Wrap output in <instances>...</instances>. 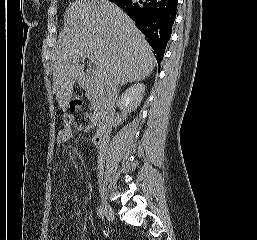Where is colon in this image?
<instances>
[{"label":"colon","mask_w":257,"mask_h":240,"mask_svg":"<svg viewBox=\"0 0 257 240\" xmlns=\"http://www.w3.org/2000/svg\"><path fill=\"white\" fill-rule=\"evenodd\" d=\"M82 104H83V100H82V97L81 95L79 94H75L72 96L71 98V101H70V108L72 110H78L82 107Z\"/></svg>","instance_id":"colon-1"}]
</instances>
